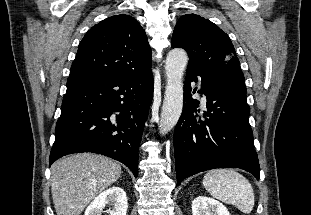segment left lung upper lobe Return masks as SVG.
Segmentation results:
<instances>
[{
  "instance_id": "obj_1",
  "label": "left lung upper lobe",
  "mask_w": 311,
  "mask_h": 215,
  "mask_svg": "<svg viewBox=\"0 0 311 215\" xmlns=\"http://www.w3.org/2000/svg\"><path fill=\"white\" fill-rule=\"evenodd\" d=\"M172 47L187 51L189 63L206 71L223 86L247 93L239 59L228 35L218 26L195 14H186L176 23Z\"/></svg>"
}]
</instances>
